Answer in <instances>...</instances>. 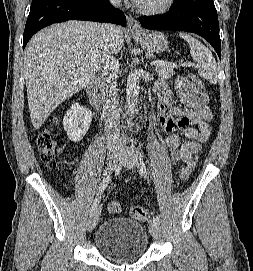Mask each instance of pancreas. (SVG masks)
<instances>
[{"label":"pancreas","instance_id":"1","mask_svg":"<svg viewBox=\"0 0 253 271\" xmlns=\"http://www.w3.org/2000/svg\"><path fill=\"white\" fill-rule=\"evenodd\" d=\"M155 70L158 76L164 79H170L173 75H175L173 68L166 65H157Z\"/></svg>","mask_w":253,"mask_h":271}]
</instances>
